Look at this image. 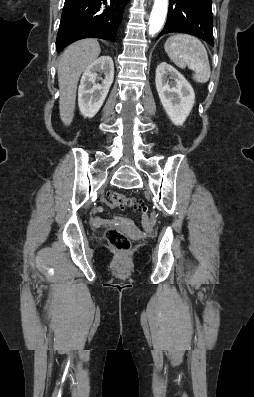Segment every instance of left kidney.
Instances as JSON below:
<instances>
[{
  "label": "left kidney",
  "instance_id": "left-kidney-1",
  "mask_svg": "<svg viewBox=\"0 0 254 397\" xmlns=\"http://www.w3.org/2000/svg\"><path fill=\"white\" fill-rule=\"evenodd\" d=\"M156 89L165 112L177 126L189 116L195 94L192 86L173 66L162 62L156 69Z\"/></svg>",
  "mask_w": 254,
  "mask_h": 397
}]
</instances>
